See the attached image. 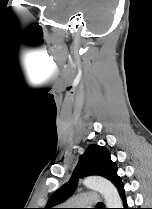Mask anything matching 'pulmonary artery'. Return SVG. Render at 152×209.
I'll return each instance as SVG.
<instances>
[{
	"label": "pulmonary artery",
	"mask_w": 152,
	"mask_h": 209,
	"mask_svg": "<svg viewBox=\"0 0 152 209\" xmlns=\"http://www.w3.org/2000/svg\"><path fill=\"white\" fill-rule=\"evenodd\" d=\"M99 194L96 192H83L68 200L67 207H88L99 203Z\"/></svg>",
	"instance_id": "pulmonary-artery-1"
}]
</instances>
